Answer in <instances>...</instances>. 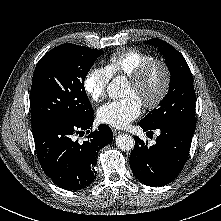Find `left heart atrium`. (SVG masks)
Segmentation results:
<instances>
[{"label":"left heart atrium","instance_id":"1","mask_svg":"<svg viewBox=\"0 0 221 221\" xmlns=\"http://www.w3.org/2000/svg\"><path fill=\"white\" fill-rule=\"evenodd\" d=\"M141 112V103L134 96H127L99 107L97 116L104 124L114 128H124L138 118Z\"/></svg>","mask_w":221,"mask_h":221}]
</instances>
